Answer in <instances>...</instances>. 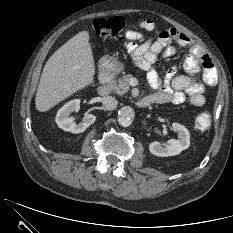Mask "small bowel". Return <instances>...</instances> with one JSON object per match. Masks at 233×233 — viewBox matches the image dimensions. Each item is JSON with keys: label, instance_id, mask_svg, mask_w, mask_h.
<instances>
[{"label": "small bowel", "instance_id": "small-bowel-1", "mask_svg": "<svg viewBox=\"0 0 233 233\" xmlns=\"http://www.w3.org/2000/svg\"><path fill=\"white\" fill-rule=\"evenodd\" d=\"M142 29L154 33L145 38L139 31L129 30L125 34V48L134 63L147 71V78L155 89L148 97L152 103L182 104L189 102L195 107L204 106L206 86L217 82V71L211 58L191 38L175 28L158 30L149 19H139ZM174 44L187 47L189 53L184 61L185 73L176 75V68H170L161 78L154 69L158 56H169L174 52ZM202 71L204 84L196 81V75Z\"/></svg>", "mask_w": 233, "mask_h": 233}]
</instances>
